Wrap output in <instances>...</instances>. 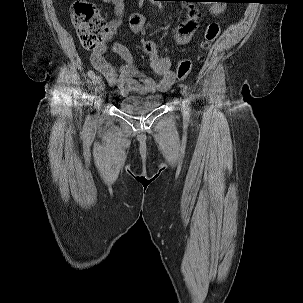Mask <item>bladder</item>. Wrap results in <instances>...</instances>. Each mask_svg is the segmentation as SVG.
<instances>
[{"mask_svg": "<svg viewBox=\"0 0 303 303\" xmlns=\"http://www.w3.org/2000/svg\"><path fill=\"white\" fill-rule=\"evenodd\" d=\"M162 94H129L120 99V109L126 113L139 115L159 108L163 103Z\"/></svg>", "mask_w": 303, "mask_h": 303, "instance_id": "bladder-1", "label": "bladder"}]
</instances>
